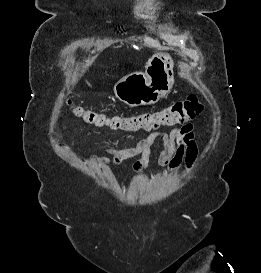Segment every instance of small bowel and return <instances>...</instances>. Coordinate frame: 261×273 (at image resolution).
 Here are the masks:
<instances>
[{
  "label": "small bowel",
  "instance_id": "obj_1",
  "mask_svg": "<svg viewBox=\"0 0 261 273\" xmlns=\"http://www.w3.org/2000/svg\"><path fill=\"white\" fill-rule=\"evenodd\" d=\"M158 139L162 141L158 163L166 167V174L173 173L183 163L186 167L185 174H187L192 169L198 155L193 125L190 123L175 127L169 133L154 131L133 147L120 149L105 147V150L113 158L111 161L102 160V162L119 167L124 160L138 156V160L133 164V170L137 174L142 173L148 167L152 146ZM91 159L95 160L96 158L91 156Z\"/></svg>",
  "mask_w": 261,
  "mask_h": 273
}]
</instances>
